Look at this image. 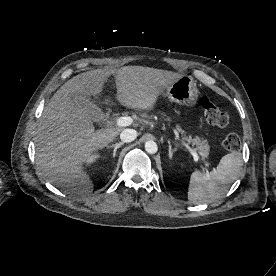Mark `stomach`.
I'll return each instance as SVG.
<instances>
[{
    "instance_id": "1",
    "label": "stomach",
    "mask_w": 276,
    "mask_h": 276,
    "mask_svg": "<svg viewBox=\"0 0 276 276\" xmlns=\"http://www.w3.org/2000/svg\"><path fill=\"white\" fill-rule=\"evenodd\" d=\"M164 94L173 102L193 107L197 103L199 91L191 76H182L167 87Z\"/></svg>"
}]
</instances>
